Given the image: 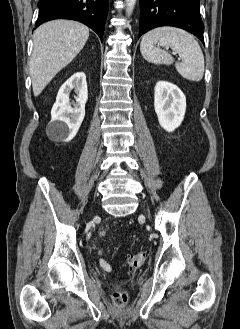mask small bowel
Instances as JSON below:
<instances>
[{"mask_svg": "<svg viewBox=\"0 0 240 329\" xmlns=\"http://www.w3.org/2000/svg\"><path fill=\"white\" fill-rule=\"evenodd\" d=\"M99 264H100L101 268L104 269L105 271L111 270L110 264L105 259H102V258L99 259Z\"/></svg>", "mask_w": 240, "mask_h": 329, "instance_id": "obj_1", "label": "small bowel"}]
</instances>
